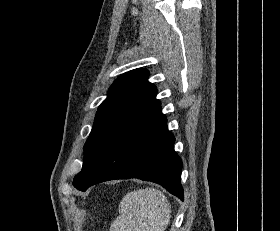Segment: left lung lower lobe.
Segmentation results:
<instances>
[{
	"label": "left lung lower lobe",
	"instance_id": "0a47b994",
	"mask_svg": "<svg viewBox=\"0 0 280 231\" xmlns=\"http://www.w3.org/2000/svg\"><path fill=\"white\" fill-rule=\"evenodd\" d=\"M161 107L118 132L96 156L83 177L80 191L100 182L138 178L160 184L181 200L182 161L174 151Z\"/></svg>",
	"mask_w": 280,
	"mask_h": 231
}]
</instances>
